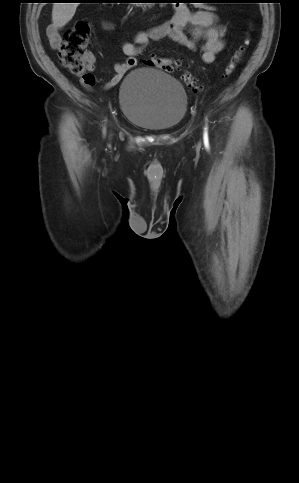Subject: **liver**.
Wrapping results in <instances>:
<instances>
[{
  "instance_id": "1",
  "label": "liver",
  "mask_w": 299,
  "mask_h": 483,
  "mask_svg": "<svg viewBox=\"0 0 299 483\" xmlns=\"http://www.w3.org/2000/svg\"><path fill=\"white\" fill-rule=\"evenodd\" d=\"M78 3H54L52 20L57 27L65 26L74 16Z\"/></svg>"
}]
</instances>
